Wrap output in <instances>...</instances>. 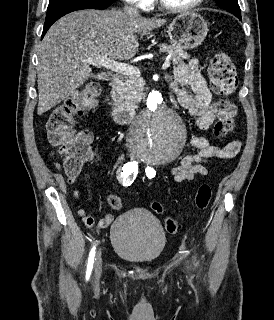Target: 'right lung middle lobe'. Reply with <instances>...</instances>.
Listing matches in <instances>:
<instances>
[{
    "instance_id": "1",
    "label": "right lung middle lobe",
    "mask_w": 274,
    "mask_h": 320,
    "mask_svg": "<svg viewBox=\"0 0 274 320\" xmlns=\"http://www.w3.org/2000/svg\"><path fill=\"white\" fill-rule=\"evenodd\" d=\"M86 1H93V0H50L47 11H51L56 8H60V7L67 5V4L86 2Z\"/></svg>"
}]
</instances>
